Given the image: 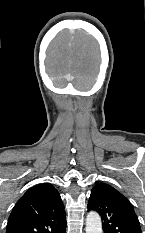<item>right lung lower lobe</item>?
<instances>
[{
  "instance_id": "obj_1",
  "label": "right lung lower lobe",
  "mask_w": 145,
  "mask_h": 233,
  "mask_svg": "<svg viewBox=\"0 0 145 233\" xmlns=\"http://www.w3.org/2000/svg\"><path fill=\"white\" fill-rule=\"evenodd\" d=\"M56 233H66V225L61 227L58 231H56Z\"/></svg>"
}]
</instances>
